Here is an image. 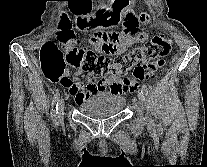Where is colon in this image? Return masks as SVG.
Listing matches in <instances>:
<instances>
[{"label": "colon", "instance_id": "5ec220e1", "mask_svg": "<svg viewBox=\"0 0 207 167\" xmlns=\"http://www.w3.org/2000/svg\"><path fill=\"white\" fill-rule=\"evenodd\" d=\"M58 41L66 48V61L81 67L86 73L94 77L111 74L112 66L120 72L132 70L133 81H142L155 75L164 66V57L170 50V42L163 36H154L144 46L137 47L128 54L111 61L94 51L80 48L76 45L71 23L66 15L59 21ZM126 28V27H125ZM40 67L43 74L51 81L58 82L64 71V57L53 42L44 46L40 56Z\"/></svg>", "mask_w": 207, "mask_h": 167}]
</instances>
